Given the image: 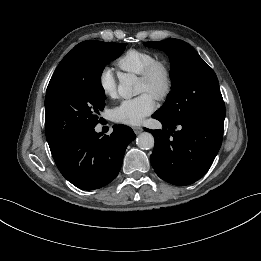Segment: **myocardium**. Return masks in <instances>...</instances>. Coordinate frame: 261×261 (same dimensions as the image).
Masks as SVG:
<instances>
[{
  "mask_svg": "<svg viewBox=\"0 0 261 261\" xmlns=\"http://www.w3.org/2000/svg\"><path fill=\"white\" fill-rule=\"evenodd\" d=\"M159 75H161L162 81L160 86L154 88L152 96L162 101L169 96L173 88V73L167 61L162 59L152 61L140 74V80L153 86Z\"/></svg>",
  "mask_w": 261,
  "mask_h": 261,
  "instance_id": "f54148a6",
  "label": "myocardium"
}]
</instances>
